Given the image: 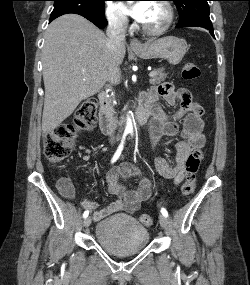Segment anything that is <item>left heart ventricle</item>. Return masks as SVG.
Instances as JSON below:
<instances>
[{
	"label": "left heart ventricle",
	"instance_id": "1",
	"mask_svg": "<svg viewBox=\"0 0 250 285\" xmlns=\"http://www.w3.org/2000/svg\"><path fill=\"white\" fill-rule=\"evenodd\" d=\"M165 19V9L158 3H151L143 25L152 29L158 28L165 22Z\"/></svg>",
	"mask_w": 250,
	"mask_h": 285
}]
</instances>
